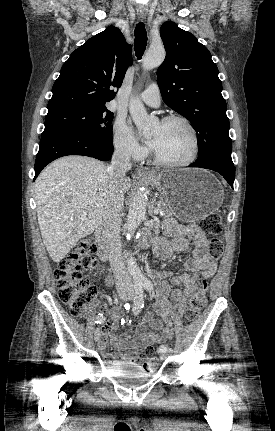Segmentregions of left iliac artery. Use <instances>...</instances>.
<instances>
[{
    "label": "left iliac artery",
    "instance_id": "44dca946",
    "mask_svg": "<svg viewBox=\"0 0 275 431\" xmlns=\"http://www.w3.org/2000/svg\"><path fill=\"white\" fill-rule=\"evenodd\" d=\"M142 284H143L144 288L147 289L148 291H152L154 289L152 282L148 279H144ZM166 349H168V345H161L158 347L157 351H158V353H162Z\"/></svg>",
    "mask_w": 275,
    "mask_h": 431
}]
</instances>
